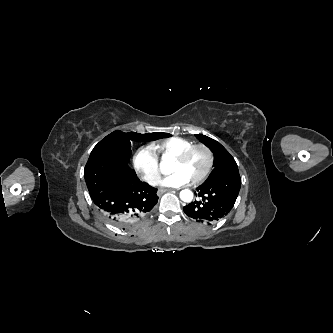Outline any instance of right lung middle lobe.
I'll list each match as a JSON object with an SVG mask.
<instances>
[{
  "instance_id": "dd1d6c3e",
  "label": "right lung middle lobe",
  "mask_w": 333,
  "mask_h": 333,
  "mask_svg": "<svg viewBox=\"0 0 333 333\" xmlns=\"http://www.w3.org/2000/svg\"><path fill=\"white\" fill-rule=\"evenodd\" d=\"M165 135H153L151 133L139 134L135 132L123 133L114 131L101 140L92 150L88 160L95 158L113 159L128 163L131 156V140H157Z\"/></svg>"
}]
</instances>
